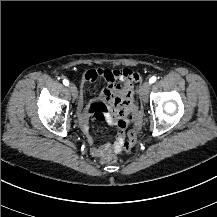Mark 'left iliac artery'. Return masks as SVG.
Returning a JSON list of instances; mask_svg holds the SVG:
<instances>
[{
    "instance_id": "44dca946",
    "label": "left iliac artery",
    "mask_w": 217,
    "mask_h": 217,
    "mask_svg": "<svg viewBox=\"0 0 217 217\" xmlns=\"http://www.w3.org/2000/svg\"><path fill=\"white\" fill-rule=\"evenodd\" d=\"M156 76H152L150 79H149V83L152 84L156 81Z\"/></svg>"
}]
</instances>
